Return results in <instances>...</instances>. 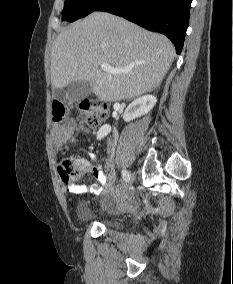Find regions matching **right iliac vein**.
Wrapping results in <instances>:
<instances>
[{
    "label": "right iliac vein",
    "mask_w": 233,
    "mask_h": 284,
    "mask_svg": "<svg viewBox=\"0 0 233 284\" xmlns=\"http://www.w3.org/2000/svg\"><path fill=\"white\" fill-rule=\"evenodd\" d=\"M136 180V173L130 172L129 177L127 178L128 183H126V188H133V185H135Z\"/></svg>",
    "instance_id": "1"
}]
</instances>
